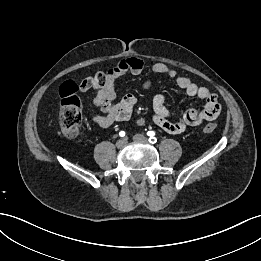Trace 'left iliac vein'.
Segmentation results:
<instances>
[{
    "mask_svg": "<svg viewBox=\"0 0 261 261\" xmlns=\"http://www.w3.org/2000/svg\"><path fill=\"white\" fill-rule=\"evenodd\" d=\"M133 140L136 141V142H144V143H147L148 142V139L147 137H145L144 135L142 134H136L133 136Z\"/></svg>",
    "mask_w": 261,
    "mask_h": 261,
    "instance_id": "left-iliac-vein-1",
    "label": "left iliac vein"
}]
</instances>
